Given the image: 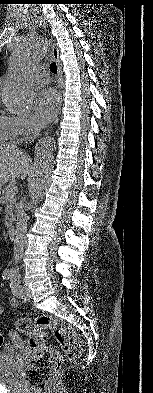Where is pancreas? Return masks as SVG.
I'll use <instances>...</instances> for the list:
<instances>
[{
    "instance_id": "pancreas-1",
    "label": "pancreas",
    "mask_w": 153,
    "mask_h": 393,
    "mask_svg": "<svg viewBox=\"0 0 153 393\" xmlns=\"http://www.w3.org/2000/svg\"><path fill=\"white\" fill-rule=\"evenodd\" d=\"M13 187H15L14 184L5 186L4 190L0 194V203L4 204L5 206V226L7 228L11 227L15 220L13 211L17 207L16 194L12 196L9 193Z\"/></svg>"
}]
</instances>
